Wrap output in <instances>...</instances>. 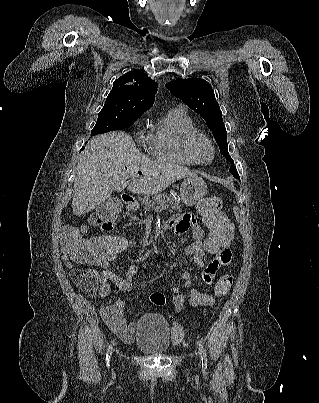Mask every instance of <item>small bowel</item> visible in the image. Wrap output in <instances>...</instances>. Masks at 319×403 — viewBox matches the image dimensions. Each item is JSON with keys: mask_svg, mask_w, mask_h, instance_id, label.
<instances>
[{"mask_svg": "<svg viewBox=\"0 0 319 403\" xmlns=\"http://www.w3.org/2000/svg\"><path fill=\"white\" fill-rule=\"evenodd\" d=\"M198 209L200 211V205ZM174 231L178 235H184L188 231L191 232L193 241L188 244L184 252L187 255H194V263L203 272V283L206 286L211 285L214 280L216 272L221 268L230 264L232 261V251L227 247H223L222 251H218V257L210 263L204 261V255L207 253V238H205L204 230L196 222L195 217L192 214H180L170 219ZM87 240L86 237H84ZM221 257V258H220ZM65 265L67 268H72V262L68 261V257L65 253ZM114 258H99L95 261H88L91 266L99 269L96 272L99 281L102 285L98 286L96 292L97 300H106L107 294L111 293V286L106 285L111 282L117 286L122 293L113 304L103 306L100 310L101 317L107 326L119 336L121 340L127 343H131L134 340V334L137 330V325L129 323L124 315L125 298L124 295L130 293L133 290V278L136 275L138 268L135 264H131L124 276H119L110 270V261ZM182 275H191L188 272H184ZM187 284H183L186 288ZM183 291L180 286L177 288H171L170 295L174 306V310L179 312L184 304L188 302L191 306H213L215 299L208 293L200 292L199 296H190L188 300H180L179 292Z\"/></svg>", "mask_w": 319, "mask_h": 403, "instance_id": "small-bowel-1", "label": "small bowel"}]
</instances>
